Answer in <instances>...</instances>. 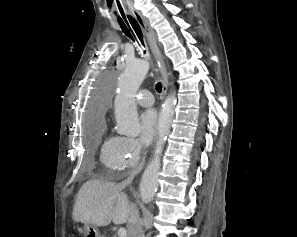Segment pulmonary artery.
Instances as JSON below:
<instances>
[{
  "instance_id": "pulmonary-artery-1",
  "label": "pulmonary artery",
  "mask_w": 297,
  "mask_h": 237,
  "mask_svg": "<svg viewBox=\"0 0 297 237\" xmlns=\"http://www.w3.org/2000/svg\"><path fill=\"white\" fill-rule=\"evenodd\" d=\"M136 102L141 106H152L154 103L153 95L148 90H141L137 95Z\"/></svg>"
}]
</instances>
